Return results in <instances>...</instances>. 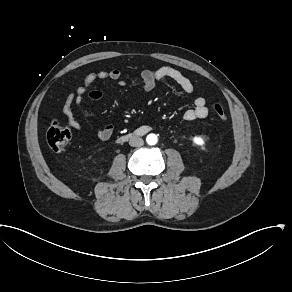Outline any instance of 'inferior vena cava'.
Listing matches in <instances>:
<instances>
[{"label": "inferior vena cava", "instance_id": "inferior-vena-cava-1", "mask_svg": "<svg viewBox=\"0 0 292 292\" xmlns=\"http://www.w3.org/2000/svg\"><path fill=\"white\" fill-rule=\"evenodd\" d=\"M129 145L132 147H141L144 145V141L139 137H134L130 139Z\"/></svg>", "mask_w": 292, "mask_h": 292}]
</instances>
